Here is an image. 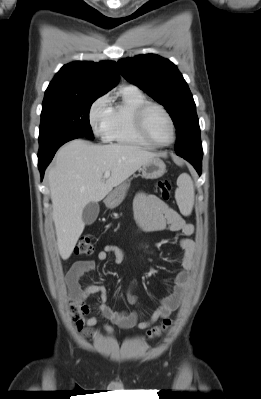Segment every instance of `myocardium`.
<instances>
[{"label":"myocardium","instance_id":"f54148a6","mask_svg":"<svg viewBox=\"0 0 261 399\" xmlns=\"http://www.w3.org/2000/svg\"><path fill=\"white\" fill-rule=\"evenodd\" d=\"M152 108L159 109L168 119L170 126H171V132H172V137L169 142L167 143H159L155 140H153L146 128V123H145V118L146 114L148 111ZM134 126L137 134L148 144H150L153 147H158V148H164L172 145L175 140H176V135H177V130H176V125L174 122V119L172 118L171 114L168 112V110L162 106L161 104L147 101L140 105L134 112Z\"/></svg>","mask_w":261,"mask_h":399}]
</instances>
